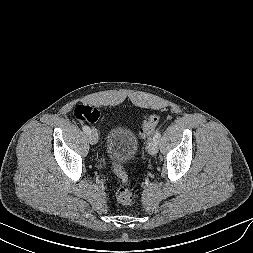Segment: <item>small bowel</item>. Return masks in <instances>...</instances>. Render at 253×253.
Masks as SVG:
<instances>
[{"label":"small bowel","mask_w":253,"mask_h":253,"mask_svg":"<svg viewBox=\"0 0 253 253\" xmlns=\"http://www.w3.org/2000/svg\"><path fill=\"white\" fill-rule=\"evenodd\" d=\"M96 113H97V115H96V119L94 121H96L99 118V115H100V112L98 110H96Z\"/></svg>","instance_id":"c3829d8e"}]
</instances>
